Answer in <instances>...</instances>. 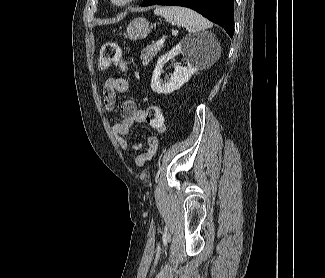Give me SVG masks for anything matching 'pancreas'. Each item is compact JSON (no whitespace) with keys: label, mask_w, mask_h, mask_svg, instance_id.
I'll use <instances>...</instances> for the list:
<instances>
[{"label":"pancreas","mask_w":325,"mask_h":278,"mask_svg":"<svg viewBox=\"0 0 325 278\" xmlns=\"http://www.w3.org/2000/svg\"><path fill=\"white\" fill-rule=\"evenodd\" d=\"M163 48L162 45H149L141 51V60L143 65H147L157 53Z\"/></svg>","instance_id":"cf45deb5"}]
</instances>
